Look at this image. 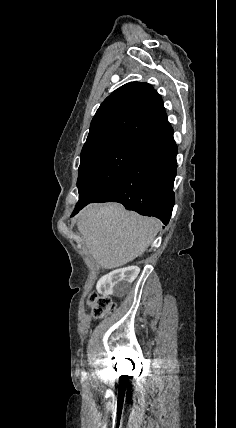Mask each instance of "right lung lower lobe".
Listing matches in <instances>:
<instances>
[{"instance_id": "98d812e1", "label": "right lung lower lobe", "mask_w": 236, "mask_h": 428, "mask_svg": "<svg viewBox=\"0 0 236 428\" xmlns=\"http://www.w3.org/2000/svg\"><path fill=\"white\" fill-rule=\"evenodd\" d=\"M139 153L124 173L92 202H119L141 215L168 224L174 206L177 147L166 123L142 141ZM75 207L72 216L87 204Z\"/></svg>"}]
</instances>
